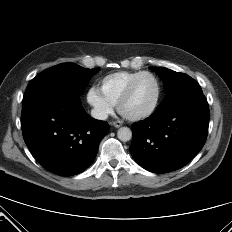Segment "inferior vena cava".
Returning a JSON list of instances; mask_svg holds the SVG:
<instances>
[{
  "label": "inferior vena cava",
  "mask_w": 232,
  "mask_h": 232,
  "mask_svg": "<svg viewBox=\"0 0 232 232\" xmlns=\"http://www.w3.org/2000/svg\"><path fill=\"white\" fill-rule=\"evenodd\" d=\"M91 116L95 119H99V120H105L108 117L107 112L100 110V109H92L91 110Z\"/></svg>",
  "instance_id": "602c4592"
}]
</instances>
